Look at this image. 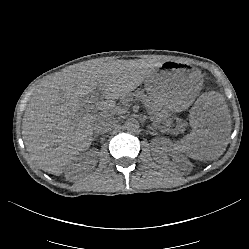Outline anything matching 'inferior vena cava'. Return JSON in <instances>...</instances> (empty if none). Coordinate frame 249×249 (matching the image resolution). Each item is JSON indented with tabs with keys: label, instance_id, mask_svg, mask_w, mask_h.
Instances as JSON below:
<instances>
[{
	"label": "inferior vena cava",
	"instance_id": "inferior-vena-cava-1",
	"mask_svg": "<svg viewBox=\"0 0 249 249\" xmlns=\"http://www.w3.org/2000/svg\"><path fill=\"white\" fill-rule=\"evenodd\" d=\"M113 125L114 119L110 114L104 113L102 118L92 125V129L95 133H106L112 130Z\"/></svg>",
	"mask_w": 249,
	"mask_h": 249
}]
</instances>
